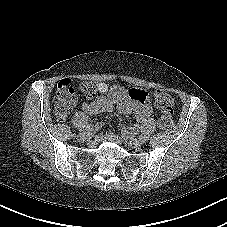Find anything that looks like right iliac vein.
I'll return each instance as SVG.
<instances>
[{
    "label": "right iliac vein",
    "instance_id": "right-iliac-vein-1",
    "mask_svg": "<svg viewBox=\"0 0 227 227\" xmlns=\"http://www.w3.org/2000/svg\"><path fill=\"white\" fill-rule=\"evenodd\" d=\"M91 136H92V131H90L89 129L78 134V138L80 140H87V139L91 138Z\"/></svg>",
    "mask_w": 227,
    "mask_h": 227
}]
</instances>
